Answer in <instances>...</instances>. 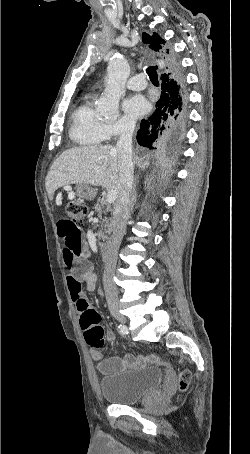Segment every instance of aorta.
Instances as JSON below:
<instances>
[{
	"instance_id": "1",
	"label": "aorta",
	"mask_w": 250,
	"mask_h": 454,
	"mask_svg": "<svg viewBox=\"0 0 250 454\" xmlns=\"http://www.w3.org/2000/svg\"><path fill=\"white\" fill-rule=\"evenodd\" d=\"M130 76V67L122 56L110 60L107 68L106 87L98 100L97 111L107 117H117L119 102L125 91V83Z\"/></svg>"
}]
</instances>
